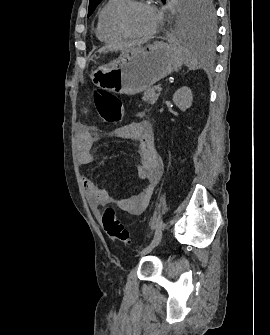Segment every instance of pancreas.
I'll list each match as a JSON object with an SVG mask.
<instances>
[{
    "label": "pancreas",
    "mask_w": 270,
    "mask_h": 335,
    "mask_svg": "<svg viewBox=\"0 0 270 335\" xmlns=\"http://www.w3.org/2000/svg\"><path fill=\"white\" fill-rule=\"evenodd\" d=\"M158 86H154V88H149V90H145L144 94H143V102H147V104H155V102H157L160 94H156V88Z\"/></svg>",
    "instance_id": "pancreas-1"
}]
</instances>
